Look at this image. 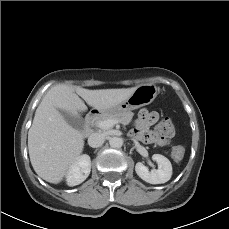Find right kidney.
I'll return each mask as SVG.
<instances>
[{
  "mask_svg": "<svg viewBox=\"0 0 229 229\" xmlns=\"http://www.w3.org/2000/svg\"><path fill=\"white\" fill-rule=\"evenodd\" d=\"M91 171V159L89 155H81L78 160L70 167L66 181L69 186L81 184L89 176Z\"/></svg>",
  "mask_w": 229,
  "mask_h": 229,
  "instance_id": "ca27d5eb",
  "label": "right kidney"
}]
</instances>
